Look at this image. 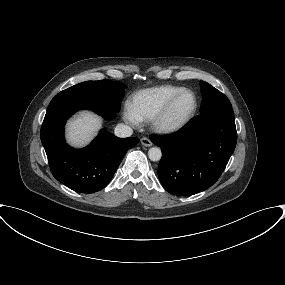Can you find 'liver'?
Listing matches in <instances>:
<instances>
[{
	"label": "liver",
	"mask_w": 285,
	"mask_h": 285,
	"mask_svg": "<svg viewBox=\"0 0 285 285\" xmlns=\"http://www.w3.org/2000/svg\"><path fill=\"white\" fill-rule=\"evenodd\" d=\"M102 126L101 119L90 112H82L67 126L68 141L75 146L85 145Z\"/></svg>",
	"instance_id": "6515ba94"
}]
</instances>
